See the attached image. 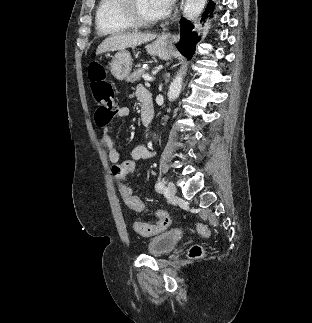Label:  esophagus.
Returning a JSON list of instances; mask_svg holds the SVG:
<instances>
[{
  "label": "esophagus",
  "mask_w": 312,
  "mask_h": 323,
  "mask_svg": "<svg viewBox=\"0 0 312 323\" xmlns=\"http://www.w3.org/2000/svg\"><path fill=\"white\" fill-rule=\"evenodd\" d=\"M165 38L170 39V40H172L174 42L178 41V36L177 35H171L169 33L167 35H165Z\"/></svg>",
  "instance_id": "obj_1"
}]
</instances>
